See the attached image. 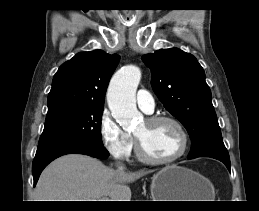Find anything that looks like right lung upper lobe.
I'll use <instances>...</instances> for the list:
<instances>
[{"label":"right lung upper lobe","mask_w":259,"mask_h":211,"mask_svg":"<svg viewBox=\"0 0 259 211\" xmlns=\"http://www.w3.org/2000/svg\"><path fill=\"white\" fill-rule=\"evenodd\" d=\"M117 54L82 52L60 66L48 95L46 120L74 110L104 106L106 89L118 62Z\"/></svg>","instance_id":"1"}]
</instances>
